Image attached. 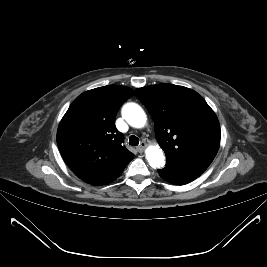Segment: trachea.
<instances>
[{"instance_id":"3493384b","label":"trachea","mask_w":267,"mask_h":267,"mask_svg":"<svg viewBox=\"0 0 267 267\" xmlns=\"http://www.w3.org/2000/svg\"><path fill=\"white\" fill-rule=\"evenodd\" d=\"M129 144L132 146H137L139 144V139L135 135L129 137Z\"/></svg>"}]
</instances>
